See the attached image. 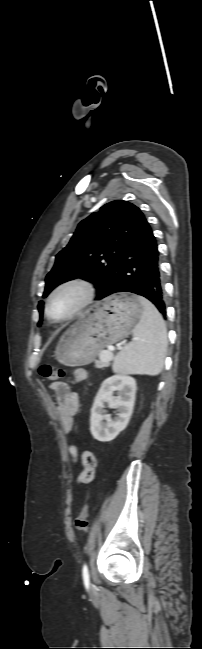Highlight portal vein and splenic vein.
Here are the masks:
<instances>
[{"label": "portal vein and splenic vein", "mask_w": 202, "mask_h": 649, "mask_svg": "<svg viewBox=\"0 0 202 649\" xmlns=\"http://www.w3.org/2000/svg\"><path fill=\"white\" fill-rule=\"evenodd\" d=\"M109 350H111V349L109 348ZM100 359H101L102 361H107V362H109V361H111V360L113 359V355H110V354H107L106 352H103V353L100 355Z\"/></svg>", "instance_id": "obj_1"}]
</instances>
